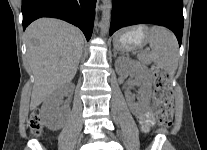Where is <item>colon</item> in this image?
<instances>
[{"mask_svg":"<svg viewBox=\"0 0 207 150\" xmlns=\"http://www.w3.org/2000/svg\"><path fill=\"white\" fill-rule=\"evenodd\" d=\"M155 77V112L157 122L161 126L168 127L173 119V91L172 73L160 65L153 66ZM28 127L33 134H40L42 124L37 111L33 112L28 121Z\"/></svg>","mask_w":207,"mask_h":150,"instance_id":"1","label":"colon"}]
</instances>
